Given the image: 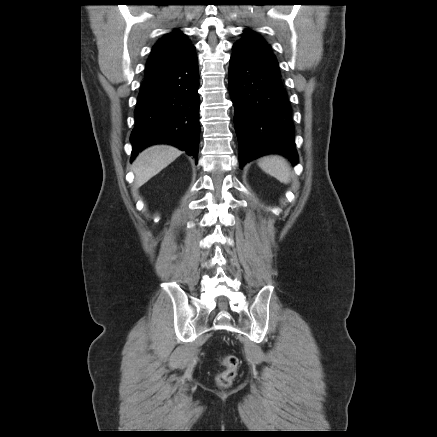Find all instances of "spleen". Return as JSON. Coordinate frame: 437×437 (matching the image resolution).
I'll list each match as a JSON object with an SVG mask.
<instances>
[{
	"label": "spleen",
	"instance_id": "spleen-1",
	"mask_svg": "<svg viewBox=\"0 0 437 437\" xmlns=\"http://www.w3.org/2000/svg\"><path fill=\"white\" fill-rule=\"evenodd\" d=\"M258 166L281 183L288 184L291 180V170L287 161L280 156H266L259 160Z\"/></svg>",
	"mask_w": 437,
	"mask_h": 437
}]
</instances>
